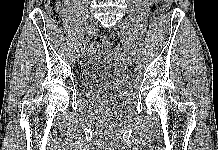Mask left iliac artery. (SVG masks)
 <instances>
[{"label": "left iliac artery", "instance_id": "44dca946", "mask_svg": "<svg viewBox=\"0 0 218 150\" xmlns=\"http://www.w3.org/2000/svg\"><path fill=\"white\" fill-rule=\"evenodd\" d=\"M127 37L130 39V41L128 42L130 45L127 46V49L129 50V49H132L131 45L134 43L135 38L132 37L130 34Z\"/></svg>", "mask_w": 218, "mask_h": 150}]
</instances>
